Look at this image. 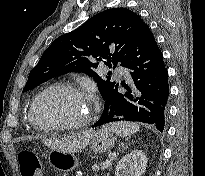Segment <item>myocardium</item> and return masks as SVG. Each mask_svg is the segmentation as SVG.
Instances as JSON below:
<instances>
[{"label":"myocardium","instance_id":"myocardium-1","mask_svg":"<svg viewBox=\"0 0 205 176\" xmlns=\"http://www.w3.org/2000/svg\"><path fill=\"white\" fill-rule=\"evenodd\" d=\"M55 90H67L80 95L88 104V110L85 117L76 123H60V124L55 123V124H47V125H43L39 123V121L36 118V110H37L38 103L45 95ZM93 110L94 107L89 97L82 91V89L79 86L71 82H59L48 86L47 88H45L44 90H42L36 95L29 110V119L31 124L36 129L41 131L79 130L84 128L91 122L93 117Z\"/></svg>","mask_w":205,"mask_h":176}]
</instances>
